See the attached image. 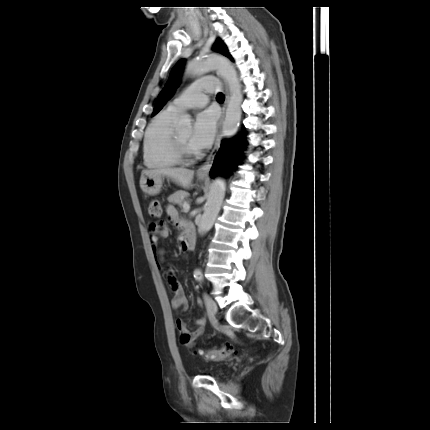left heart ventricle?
Instances as JSON below:
<instances>
[{
    "mask_svg": "<svg viewBox=\"0 0 430 430\" xmlns=\"http://www.w3.org/2000/svg\"><path fill=\"white\" fill-rule=\"evenodd\" d=\"M179 138L181 139V141L186 144L190 149L194 150L191 145H190V139H191V135H192V131L191 129L187 128V129H180L177 131Z\"/></svg>",
    "mask_w": 430,
    "mask_h": 430,
    "instance_id": "left-heart-ventricle-1",
    "label": "left heart ventricle"
}]
</instances>
